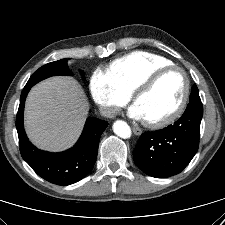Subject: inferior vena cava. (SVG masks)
I'll return each instance as SVG.
<instances>
[{
    "instance_id": "obj_1",
    "label": "inferior vena cava",
    "mask_w": 225,
    "mask_h": 225,
    "mask_svg": "<svg viewBox=\"0 0 225 225\" xmlns=\"http://www.w3.org/2000/svg\"><path fill=\"white\" fill-rule=\"evenodd\" d=\"M117 111H118L117 107H102L100 109L101 114L107 118L114 117Z\"/></svg>"
}]
</instances>
